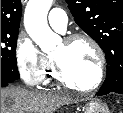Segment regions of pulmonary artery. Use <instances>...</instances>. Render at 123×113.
I'll return each instance as SVG.
<instances>
[{"label": "pulmonary artery", "mask_w": 123, "mask_h": 113, "mask_svg": "<svg viewBox=\"0 0 123 113\" xmlns=\"http://www.w3.org/2000/svg\"><path fill=\"white\" fill-rule=\"evenodd\" d=\"M48 22L53 29L64 32L67 28L68 18L64 10L53 8L48 14Z\"/></svg>", "instance_id": "1"}]
</instances>
